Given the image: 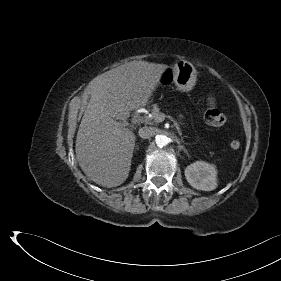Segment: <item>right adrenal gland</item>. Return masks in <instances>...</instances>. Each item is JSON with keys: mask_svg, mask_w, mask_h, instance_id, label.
Instances as JSON below:
<instances>
[{"mask_svg": "<svg viewBox=\"0 0 281 281\" xmlns=\"http://www.w3.org/2000/svg\"><path fill=\"white\" fill-rule=\"evenodd\" d=\"M136 149L138 150V149H139V147H138V146H136Z\"/></svg>", "mask_w": 281, "mask_h": 281, "instance_id": "obj_1", "label": "right adrenal gland"}]
</instances>
